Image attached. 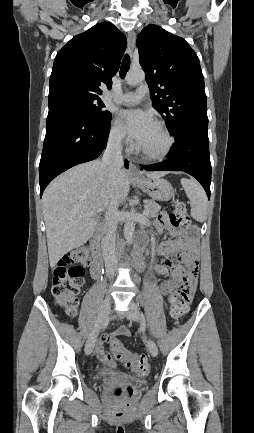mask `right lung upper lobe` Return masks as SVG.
<instances>
[{
    "mask_svg": "<svg viewBox=\"0 0 254 433\" xmlns=\"http://www.w3.org/2000/svg\"><path fill=\"white\" fill-rule=\"evenodd\" d=\"M126 45L125 35L109 22L74 36L55 57L48 105L75 98L99 99V87H111Z\"/></svg>",
    "mask_w": 254,
    "mask_h": 433,
    "instance_id": "obj_1",
    "label": "right lung upper lobe"
}]
</instances>
